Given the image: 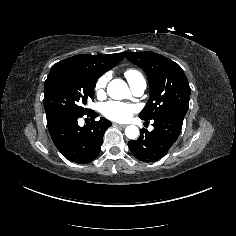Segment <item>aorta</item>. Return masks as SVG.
Returning <instances> with one entry per match:
<instances>
[{"label": "aorta", "mask_w": 236, "mask_h": 236, "mask_svg": "<svg viewBox=\"0 0 236 236\" xmlns=\"http://www.w3.org/2000/svg\"><path fill=\"white\" fill-rule=\"evenodd\" d=\"M124 81L120 79L113 80L108 86V94L114 98V90L119 86L122 85ZM125 135L129 139H136L139 136V129L135 125H128L125 128Z\"/></svg>", "instance_id": "1"}]
</instances>
